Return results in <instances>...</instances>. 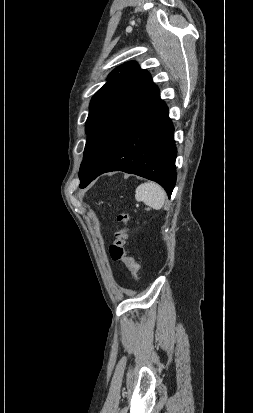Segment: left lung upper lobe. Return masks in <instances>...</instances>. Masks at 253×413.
<instances>
[{"instance_id": "obj_1", "label": "left lung upper lobe", "mask_w": 253, "mask_h": 413, "mask_svg": "<svg viewBox=\"0 0 253 413\" xmlns=\"http://www.w3.org/2000/svg\"><path fill=\"white\" fill-rule=\"evenodd\" d=\"M160 100L150 74L136 62L125 63L110 73L109 81L90 102L81 183L101 168Z\"/></svg>"}]
</instances>
